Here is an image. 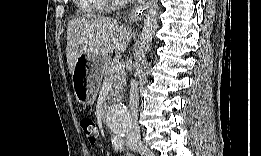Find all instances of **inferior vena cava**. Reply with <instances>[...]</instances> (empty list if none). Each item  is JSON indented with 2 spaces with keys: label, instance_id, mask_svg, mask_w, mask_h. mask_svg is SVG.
<instances>
[{
  "label": "inferior vena cava",
  "instance_id": "1",
  "mask_svg": "<svg viewBox=\"0 0 261 156\" xmlns=\"http://www.w3.org/2000/svg\"><path fill=\"white\" fill-rule=\"evenodd\" d=\"M138 103H139L138 83L135 79H132L131 88H130L129 106H130L131 115L133 117V127L126 136V140L129 145L132 144L141 145L140 127L137 122Z\"/></svg>",
  "mask_w": 261,
  "mask_h": 156
}]
</instances>
